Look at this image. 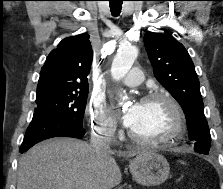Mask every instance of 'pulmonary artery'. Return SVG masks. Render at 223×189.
Listing matches in <instances>:
<instances>
[{"label": "pulmonary artery", "instance_id": "obj_1", "mask_svg": "<svg viewBox=\"0 0 223 189\" xmlns=\"http://www.w3.org/2000/svg\"><path fill=\"white\" fill-rule=\"evenodd\" d=\"M143 73L139 68H133L124 78L121 79V82L129 87H136L142 83Z\"/></svg>", "mask_w": 223, "mask_h": 189}]
</instances>
